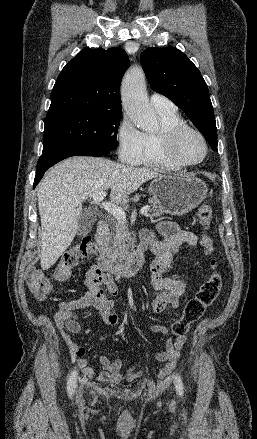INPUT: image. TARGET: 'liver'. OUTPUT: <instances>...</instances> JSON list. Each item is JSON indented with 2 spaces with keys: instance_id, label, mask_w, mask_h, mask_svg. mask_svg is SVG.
I'll return each instance as SVG.
<instances>
[{
  "instance_id": "obj_1",
  "label": "liver",
  "mask_w": 257,
  "mask_h": 439,
  "mask_svg": "<svg viewBox=\"0 0 257 439\" xmlns=\"http://www.w3.org/2000/svg\"><path fill=\"white\" fill-rule=\"evenodd\" d=\"M160 176L149 168L96 157H71L52 167L37 189L42 269L53 266L71 245L84 200L110 188L111 202L120 203L143 183Z\"/></svg>"
}]
</instances>
